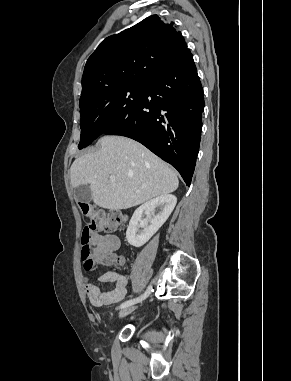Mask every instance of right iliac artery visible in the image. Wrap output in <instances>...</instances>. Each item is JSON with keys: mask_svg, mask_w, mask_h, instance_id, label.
Wrapping results in <instances>:
<instances>
[{"mask_svg": "<svg viewBox=\"0 0 291 381\" xmlns=\"http://www.w3.org/2000/svg\"><path fill=\"white\" fill-rule=\"evenodd\" d=\"M152 291V287L149 286L148 289L146 290V292L144 294H142L141 296L137 297V298H133L131 300H127L125 302H123L121 305H120V308H125L127 306H130L132 304H135L137 302H140L142 300H144L145 298H147L150 294V292Z\"/></svg>", "mask_w": 291, "mask_h": 381, "instance_id": "right-iliac-artery-1", "label": "right iliac artery"}]
</instances>
